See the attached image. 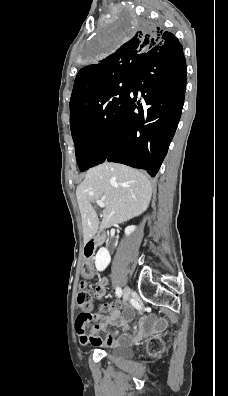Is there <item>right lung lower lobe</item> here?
Returning a JSON list of instances; mask_svg holds the SVG:
<instances>
[{
    "instance_id": "98d812e1",
    "label": "right lung lower lobe",
    "mask_w": 228,
    "mask_h": 396,
    "mask_svg": "<svg viewBox=\"0 0 228 396\" xmlns=\"http://www.w3.org/2000/svg\"><path fill=\"white\" fill-rule=\"evenodd\" d=\"M161 49L144 57L134 70L104 159L144 169L152 177L174 136L186 88L182 45ZM137 91L141 96L137 97Z\"/></svg>"
}]
</instances>
